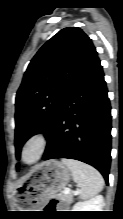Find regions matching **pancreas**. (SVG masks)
<instances>
[{
	"label": "pancreas",
	"instance_id": "cf45deb5",
	"mask_svg": "<svg viewBox=\"0 0 123 219\" xmlns=\"http://www.w3.org/2000/svg\"><path fill=\"white\" fill-rule=\"evenodd\" d=\"M57 197L60 200H62L64 202H67V203H71L73 201V197H72L71 194H63V193H61V194H58Z\"/></svg>",
	"mask_w": 123,
	"mask_h": 219
}]
</instances>
